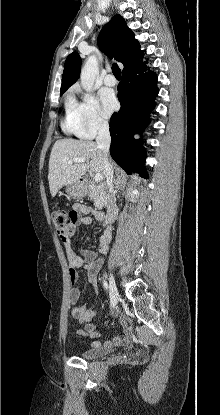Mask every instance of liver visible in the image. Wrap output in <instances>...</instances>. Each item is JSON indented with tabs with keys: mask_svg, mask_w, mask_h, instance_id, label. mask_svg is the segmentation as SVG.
I'll list each match as a JSON object with an SVG mask.
<instances>
[{
	"mask_svg": "<svg viewBox=\"0 0 220 415\" xmlns=\"http://www.w3.org/2000/svg\"><path fill=\"white\" fill-rule=\"evenodd\" d=\"M73 158H83L89 161V166L84 163L69 164ZM104 176L102 151L93 141L60 139L52 148L49 159L48 181L50 193L54 197L65 185L73 184L87 172Z\"/></svg>",
	"mask_w": 220,
	"mask_h": 415,
	"instance_id": "liver-1",
	"label": "liver"
}]
</instances>
